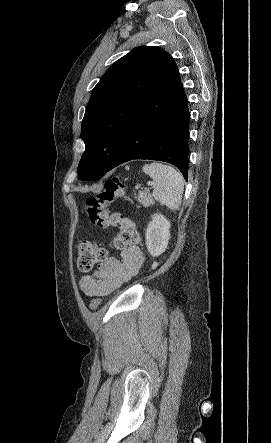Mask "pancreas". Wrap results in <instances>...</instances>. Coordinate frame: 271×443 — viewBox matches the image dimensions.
Here are the masks:
<instances>
[{
	"label": "pancreas",
	"instance_id": "cf45deb5",
	"mask_svg": "<svg viewBox=\"0 0 271 443\" xmlns=\"http://www.w3.org/2000/svg\"><path fill=\"white\" fill-rule=\"evenodd\" d=\"M138 202L144 206V208H148V206H153L155 200L152 198L151 194H149V190H145V192H139V196H137Z\"/></svg>",
	"mask_w": 271,
	"mask_h": 443
}]
</instances>
